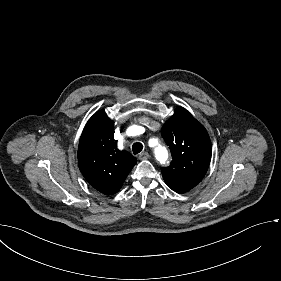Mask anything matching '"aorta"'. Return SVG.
<instances>
[{"label":"aorta","instance_id":"aorta-1","mask_svg":"<svg viewBox=\"0 0 281 281\" xmlns=\"http://www.w3.org/2000/svg\"><path fill=\"white\" fill-rule=\"evenodd\" d=\"M155 155H156V158L158 160L163 161V162H165L167 160V158H168L167 150L163 146H158L155 149Z\"/></svg>","mask_w":281,"mask_h":281}]
</instances>
